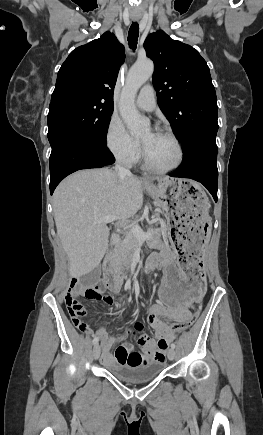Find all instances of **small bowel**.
Here are the masks:
<instances>
[{
    "label": "small bowel",
    "mask_w": 263,
    "mask_h": 435,
    "mask_svg": "<svg viewBox=\"0 0 263 435\" xmlns=\"http://www.w3.org/2000/svg\"><path fill=\"white\" fill-rule=\"evenodd\" d=\"M165 258H175L171 249L166 248L159 253L150 255L146 262V271L154 268L160 269L159 264L161 261H164ZM77 294L80 293L77 292ZM105 303L112 304V300ZM160 316L170 317L175 321H182L184 323L190 319L191 314L188 310V305L185 310H178L176 305L155 304L151 306L146 312V323L154 330L155 339H152L145 334L139 335L143 329V324L139 321H135L131 328L114 336H109L104 326L100 327L97 330V337L100 338L102 346V363L106 366L113 364L136 366L154 360L163 361L168 350H171L172 348L171 341L174 340L180 329H171L170 325L163 321ZM128 335L137 338L138 343L142 348V353L134 350L131 343L124 342L122 345L117 347L113 354L111 349L114 344ZM161 339L162 341H160ZM155 340H157L156 343Z\"/></svg>",
    "instance_id": "1"
}]
</instances>
